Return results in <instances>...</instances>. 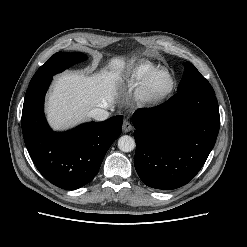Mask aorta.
I'll use <instances>...</instances> for the list:
<instances>
[{
	"instance_id": "obj_1",
	"label": "aorta",
	"mask_w": 247,
	"mask_h": 247,
	"mask_svg": "<svg viewBox=\"0 0 247 247\" xmlns=\"http://www.w3.org/2000/svg\"><path fill=\"white\" fill-rule=\"evenodd\" d=\"M118 148L123 152H131L135 148V140L128 135H123L118 140Z\"/></svg>"
}]
</instances>
